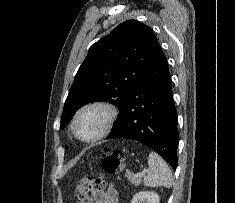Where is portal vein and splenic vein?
<instances>
[{
    "label": "portal vein and splenic vein",
    "instance_id": "1",
    "mask_svg": "<svg viewBox=\"0 0 235 203\" xmlns=\"http://www.w3.org/2000/svg\"><path fill=\"white\" fill-rule=\"evenodd\" d=\"M146 172H147V170L144 169V170L138 172V173L136 174V176H137V177H142V176H144V175L146 174Z\"/></svg>",
    "mask_w": 235,
    "mask_h": 203
}]
</instances>
